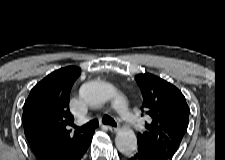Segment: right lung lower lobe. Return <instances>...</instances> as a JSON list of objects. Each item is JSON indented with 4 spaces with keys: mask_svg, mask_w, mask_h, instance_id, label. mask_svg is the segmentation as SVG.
<instances>
[{
    "mask_svg": "<svg viewBox=\"0 0 225 160\" xmlns=\"http://www.w3.org/2000/svg\"><path fill=\"white\" fill-rule=\"evenodd\" d=\"M94 134V133H93ZM92 141V138L83 143L81 146H79L78 149L71 153H57L54 156H40V160H81L86 153L90 143Z\"/></svg>",
    "mask_w": 225,
    "mask_h": 160,
    "instance_id": "98d812e1",
    "label": "right lung lower lobe"
}]
</instances>
